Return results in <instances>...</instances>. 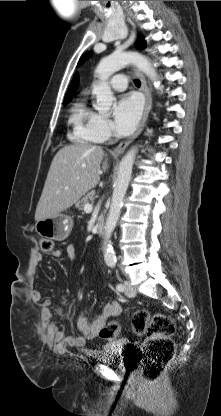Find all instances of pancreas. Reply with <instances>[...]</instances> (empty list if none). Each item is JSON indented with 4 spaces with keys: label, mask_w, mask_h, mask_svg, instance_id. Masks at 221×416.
Here are the masks:
<instances>
[{
    "label": "pancreas",
    "mask_w": 221,
    "mask_h": 416,
    "mask_svg": "<svg viewBox=\"0 0 221 416\" xmlns=\"http://www.w3.org/2000/svg\"><path fill=\"white\" fill-rule=\"evenodd\" d=\"M96 197L95 191H91L87 193L80 201H78L75 205L76 208L79 210H83L84 206L92 201Z\"/></svg>",
    "instance_id": "1"
}]
</instances>
